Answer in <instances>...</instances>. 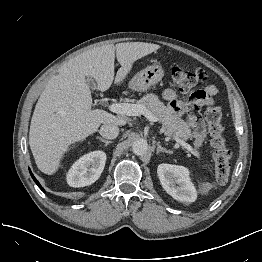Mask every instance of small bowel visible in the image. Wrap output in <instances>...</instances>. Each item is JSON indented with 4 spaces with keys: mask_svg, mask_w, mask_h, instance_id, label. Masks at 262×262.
<instances>
[{
    "mask_svg": "<svg viewBox=\"0 0 262 262\" xmlns=\"http://www.w3.org/2000/svg\"><path fill=\"white\" fill-rule=\"evenodd\" d=\"M218 89L215 85H206L202 91H199L192 98L193 104L196 108L206 107L213 104V99L217 94ZM164 99L172 108L174 114H186V120L189 127L193 131L194 142L197 146L201 145L205 136V125L197 113L186 112L182 102L178 99L176 92L172 89H167L163 93Z\"/></svg>",
    "mask_w": 262,
    "mask_h": 262,
    "instance_id": "small-bowel-1",
    "label": "small bowel"
}]
</instances>
